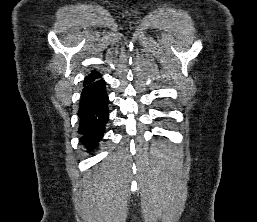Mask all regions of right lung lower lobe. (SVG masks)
<instances>
[{"mask_svg":"<svg viewBox=\"0 0 257 222\" xmlns=\"http://www.w3.org/2000/svg\"><path fill=\"white\" fill-rule=\"evenodd\" d=\"M100 77L84 82L78 110L80 141L88 151L96 147L103 137L109 115L105 83Z\"/></svg>","mask_w":257,"mask_h":222,"instance_id":"obj_1","label":"right lung lower lobe"}]
</instances>
